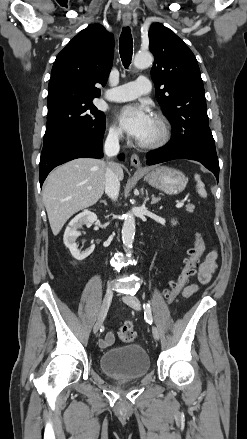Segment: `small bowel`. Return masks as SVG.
<instances>
[{
  "label": "small bowel",
  "mask_w": 247,
  "mask_h": 439,
  "mask_svg": "<svg viewBox=\"0 0 247 439\" xmlns=\"http://www.w3.org/2000/svg\"><path fill=\"white\" fill-rule=\"evenodd\" d=\"M217 257L218 254L216 250L210 251L198 265V269L195 274L201 284H207L211 280V277L217 268ZM197 289V285H189L184 289L183 295L185 297L191 296L197 291ZM113 342L114 335L112 333H107L102 339H100L99 345L102 348H106L111 346Z\"/></svg>",
  "instance_id": "obj_1"
}]
</instances>
